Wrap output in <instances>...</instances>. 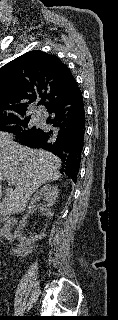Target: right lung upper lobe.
I'll return each mask as SVG.
<instances>
[{
    "label": "right lung upper lobe",
    "instance_id": "cb5924a9",
    "mask_svg": "<svg viewBox=\"0 0 118 320\" xmlns=\"http://www.w3.org/2000/svg\"><path fill=\"white\" fill-rule=\"evenodd\" d=\"M80 89L69 68L54 55L34 50L0 69V119L25 117L28 104L47 109Z\"/></svg>",
    "mask_w": 118,
    "mask_h": 320
}]
</instances>
